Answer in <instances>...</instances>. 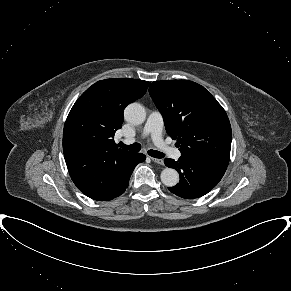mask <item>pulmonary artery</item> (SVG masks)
<instances>
[{
	"instance_id": "pulmonary-artery-1",
	"label": "pulmonary artery",
	"mask_w": 291,
	"mask_h": 291,
	"mask_svg": "<svg viewBox=\"0 0 291 291\" xmlns=\"http://www.w3.org/2000/svg\"><path fill=\"white\" fill-rule=\"evenodd\" d=\"M163 117L158 111H153L149 114L145 126L143 128V136H151L154 144L168 156L178 159L181 152L171 146H168L162 137ZM126 143L134 142V139L125 140Z\"/></svg>"
}]
</instances>
